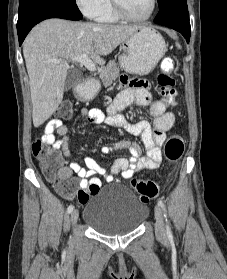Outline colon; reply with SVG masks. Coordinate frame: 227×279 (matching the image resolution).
I'll return each mask as SVG.
<instances>
[{"instance_id":"1","label":"colon","mask_w":227,"mask_h":279,"mask_svg":"<svg viewBox=\"0 0 227 279\" xmlns=\"http://www.w3.org/2000/svg\"><path fill=\"white\" fill-rule=\"evenodd\" d=\"M175 64L172 58L166 57L161 60L160 72L157 75V84L161 96L171 105L176 103L177 91L175 88V79L173 71ZM74 107L69 104H63L59 110V118L68 120L73 113ZM53 138L37 140L32 145V154L40 163L45 177L56 183V169L59 165L60 158L56 151L46 147V143L52 142ZM184 139L178 134H172L166 141L164 147L165 158L170 162H176L181 159L184 152ZM57 188L67 196H76L77 199H85L87 195L82 190H77L75 179L69 178L66 181L56 183ZM132 185L135 188L140 201L147 203L159 194V186L153 180L133 179ZM99 189L97 183L90 185V191L95 192Z\"/></svg>"}]
</instances>
